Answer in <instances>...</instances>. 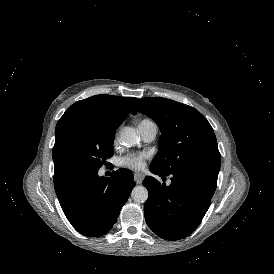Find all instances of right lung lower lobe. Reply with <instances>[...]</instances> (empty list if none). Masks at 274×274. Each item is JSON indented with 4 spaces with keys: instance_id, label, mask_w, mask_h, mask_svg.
Segmentation results:
<instances>
[{
    "instance_id": "right-lung-lower-lobe-1",
    "label": "right lung lower lobe",
    "mask_w": 274,
    "mask_h": 274,
    "mask_svg": "<svg viewBox=\"0 0 274 274\" xmlns=\"http://www.w3.org/2000/svg\"><path fill=\"white\" fill-rule=\"evenodd\" d=\"M135 184L127 169L114 171L109 178L99 177L98 170H82L54 179L65 216L89 237L104 235L113 227Z\"/></svg>"
}]
</instances>
